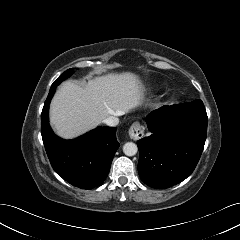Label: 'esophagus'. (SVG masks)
Instances as JSON below:
<instances>
[{
  "label": "esophagus",
  "mask_w": 240,
  "mask_h": 240,
  "mask_svg": "<svg viewBox=\"0 0 240 240\" xmlns=\"http://www.w3.org/2000/svg\"><path fill=\"white\" fill-rule=\"evenodd\" d=\"M129 136L133 140H139L143 138L144 131L139 122H134L129 128Z\"/></svg>",
  "instance_id": "obj_1"
}]
</instances>
